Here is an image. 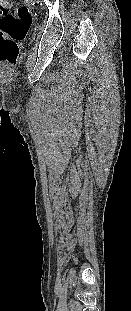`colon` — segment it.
<instances>
[{
  "instance_id": "obj_1",
  "label": "colon",
  "mask_w": 131,
  "mask_h": 311,
  "mask_svg": "<svg viewBox=\"0 0 131 311\" xmlns=\"http://www.w3.org/2000/svg\"><path fill=\"white\" fill-rule=\"evenodd\" d=\"M32 16L24 6H14L11 0H0V64L13 65L19 54L18 42L30 27Z\"/></svg>"
}]
</instances>
